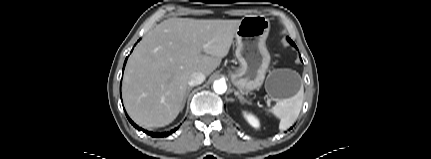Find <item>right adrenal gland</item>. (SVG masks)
I'll use <instances>...</instances> for the list:
<instances>
[{"label":"right adrenal gland","mask_w":431,"mask_h":159,"mask_svg":"<svg viewBox=\"0 0 431 159\" xmlns=\"http://www.w3.org/2000/svg\"><path fill=\"white\" fill-rule=\"evenodd\" d=\"M191 90H192V87H188L187 92H186L185 97H184V100H183L182 109H183V108H184V106H185L186 98H187V96H188V94L190 93V91H191Z\"/></svg>","instance_id":"obj_1"}]
</instances>
